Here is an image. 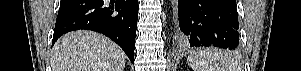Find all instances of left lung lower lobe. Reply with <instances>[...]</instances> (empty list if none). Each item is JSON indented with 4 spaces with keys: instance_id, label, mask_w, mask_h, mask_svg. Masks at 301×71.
<instances>
[{
    "instance_id": "0a47b994",
    "label": "left lung lower lobe",
    "mask_w": 301,
    "mask_h": 71,
    "mask_svg": "<svg viewBox=\"0 0 301 71\" xmlns=\"http://www.w3.org/2000/svg\"><path fill=\"white\" fill-rule=\"evenodd\" d=\"M177 41L185 46H239L236 0H178L175 5Z\"/></svg>"
}]
</instances>
